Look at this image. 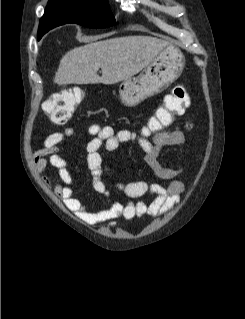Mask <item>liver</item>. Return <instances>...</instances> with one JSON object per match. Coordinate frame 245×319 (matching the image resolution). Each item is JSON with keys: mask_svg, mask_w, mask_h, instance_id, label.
<instances>
[{"mask_svg": "<svg viewBox=\"0 0 245 319\" xmlns=\"http://www.w3.org/2000/svg\"><path fill=\"white\" fill-rule=\"evenodd\" d=\"M168 45L156 37L135 35L76 47L60 60L54 83L115 84L139 73Z\"/></svg>", "mask_w": 245, "mask_h": 319, "instance_id": "1", "label": "liver"}]
</instances>
